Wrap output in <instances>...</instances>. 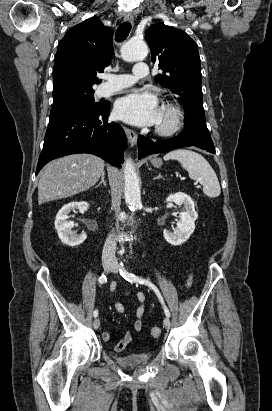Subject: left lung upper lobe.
Returning <instances> with one entry per match:
<instances>
[{
	"instance_id": "5c2ea615",
	"label": "left lung upper lobe",
	"mask_w": 272,
	"mask_h": 411,
	"mask_svg": "<svg viewBox=\"0 0 272 411\" xmlns=\"http://www.w3.org/2000/svg\"><path fill=\"white\" fill-rule=\"evenodd\" d=\"M152 61L163 74L154 80L177 95L185 110V125L206 124L202 105V75L198 47L187 33L162 23L146 32Z\"/></svg>"
}]
</instances>
